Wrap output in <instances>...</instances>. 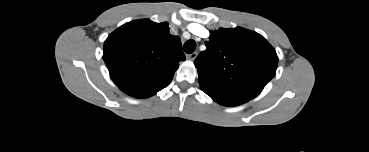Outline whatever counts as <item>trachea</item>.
<instances>
[{"instance_id": "trachea-1", "label": "trachea", "mask_w": 369, "mask_h": 152, "mask_svg": "<svg viewBox=\"0 0 369 152\" xmlns=\"http://www.w3.org/2000/svg\"><path fill=\"white\" fill-rule=\"evenodd\" d=\"M183 48L187 54H191L196 48V42L194 40H188L187 42H185Z\"/></svg>"}]
</instances>
